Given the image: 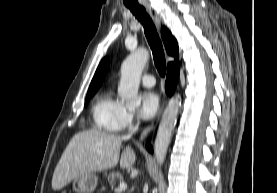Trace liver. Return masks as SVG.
<instances>
[{"instance_id": "1", "label": "liver", "mask_w": 277, "mask_h": 193, "mask_svg": "<svg viewBox=\"0 0 277 193\" xmlns=\"http://www.w3.org/2000/svg\"><path fill=\"white\" fill-rule=\"evenodd\" d=\"M126 137L99 130L82 131L71 139L63 152L53 174L52 188L60 190L75 177L103 171L119 162L120 148ZM136 160L133 149L128 145L120 157V167L129 168Z\"/></svg>"}]
</instances>
